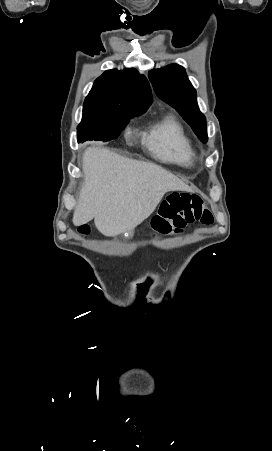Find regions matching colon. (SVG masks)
<instances>
[{"instance_id":"1","label":"colon","mask_w":272,"mask_h":451,"mask_svg":"<svg viewBox=\"0 0 272 451\" xmlns=\"http://www.w3.org/2000/svg\"><path fill=\"white\" fill-rule=\"evenodd\" d=\"M214 222L213 213L206 201L198 194L177 192L161 206L159 215L152 219V226L157 232L168 234L174 228L192 224L211 225ZM82 234L88 233L87 226H81Z\"/></svg>"}]
</instances>
